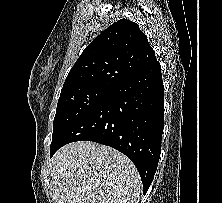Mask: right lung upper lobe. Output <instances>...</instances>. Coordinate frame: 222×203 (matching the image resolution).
I'll return each instance as SVG.
<instances>
[{
	"label": "right lung upper lobe",
	"mask_w": 222,
	"mask_h": 203,
	"mask_svg": "<svg viewBox=\"0 0 222 203\" xmlns=\"http://www.w3.org/2000/svg\"><path fill=\"white\" fill-rule=\"evenodd\" d=\"M156 60L155 52L138 24L121 19L86 47L62 89L87 86L114 89L125 78Z\"/></svg>",
	"instance_id": "cb5924a9"
}]
</instances>
